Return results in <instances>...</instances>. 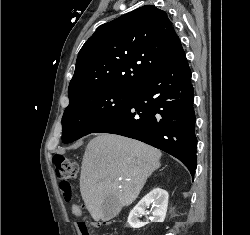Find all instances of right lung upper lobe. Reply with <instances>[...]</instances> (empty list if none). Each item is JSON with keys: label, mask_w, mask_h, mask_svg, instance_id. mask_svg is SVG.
I'll list each match as a JSON object with an SVG mask.
<instances>
[{"label": "right lung upper lobe", "mask_w": 250, "mask_h": 235, "mask_svg": "<svg viewBox=\"0 0 250 235\" xmlns=\"http://www.w3.org/2000/svg\"><path fill=\"white\" fill-rule=\"evenodd\" d=\"M179 37L167 14L145 5L98 27L79 51L72 101L102 89H135L171 59Z\"/></svg>", "instance_id": "obj_1"}]
</instances>
